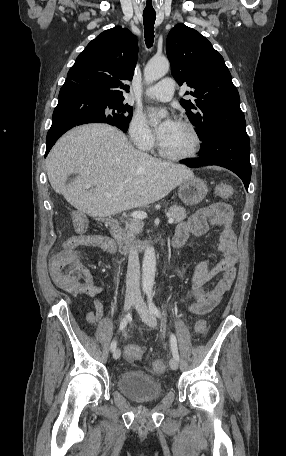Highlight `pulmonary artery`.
I'll return each instance as SVG.
<instances>
[{"instance_id":"1","label":"pulmonary artery","mask_w":286,"mask_h":456,"mask_svg":"<svg viewBox=\"0 0 286 456\" xmlns=\"http://www.w3.org/2000/svg\"><path fill=\"white\" fill-rule=\"evenodd\" d=\"M175 92V83L172 78H164L159 83L147 88L145 93L148 97L167 102L173 98Z\"/></svg>"}]
</instances>
